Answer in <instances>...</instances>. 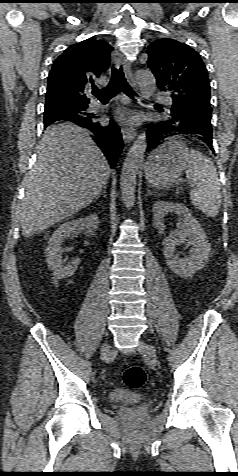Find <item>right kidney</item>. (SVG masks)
<instances>
[{
  "instance_id": "obj_1",
  "label": "right kidney",
  "mask_w": 238,
  "mask_h": 476,
  "mask_svg": "<svg viewBox=\"0 0 238 476\" xmlns=\"http://www.w3.org/2000/svg\"><path fill=\"white\" fill-rule=\"evenodd\" d=\"M98 225V215L91 214L84 218L63 223L52 234L45 254L47 263L55 278L64 279L72 276L81 262L80 258H76L71 263L65 264V261L62 259L63 249L61 248L63 241L75 236L79 231H85L88 235H93L98 229Z\"/></svg>"
}]
</instances>
